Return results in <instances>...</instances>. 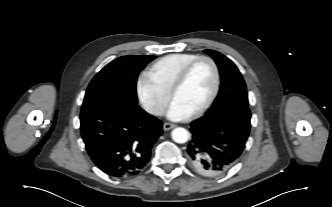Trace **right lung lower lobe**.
Here are the masks:
<instances>
[{
	"mask_svg": "<svg viewBox=\"0 0 332 207\" xmlns=\"http://www.w3.org/2000/svg\"><path fill=\"white\" fill-rule=\"evenodd\" d=\"M81 135L96 166L112 177L138 174L162 134V122L139 106L105 104L82 110Z\"/></svg>",
	"mask_w": 332,
	"mask_h": 207,
	"instance_id": "obj_1",
	"label": "right lung lower lobe"
}]
</instances>
